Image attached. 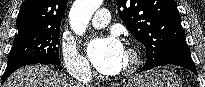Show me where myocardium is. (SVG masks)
Returning <instances> with one entry per match:
<instances>
[{
    "label": "myocardium",
    "instance_id": "myocardium-1",
    "mask_svg": "<svg viewBox=\"0 0 205 87\" xmlns=\"http://www.w3.org/2000/svg\"><path fill=\"white\" fill-rule=\"evenodd\" d=\"M126 52L129 55L128 64L120 72L121 76H130L135 73L141 64V55L135 47H128Z\"/></svg>",
    "mask_w": 205,
    "mask_h": 87
}]
</instances>
